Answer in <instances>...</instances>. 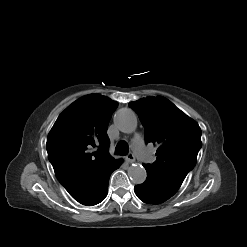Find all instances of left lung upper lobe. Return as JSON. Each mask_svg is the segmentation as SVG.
<instances>
[{"mask_svg": "<svg viewBox=\"0 0 247 247\" xmlns=\"http://www.w3.org/2000/svg\"><path fill=\"white\" fill-rule=\"evenodd\" d=\"M129 105L145 128L146 142L159 146L156 161L146 166L177 191L195 166L202 146L199 125L160 96H149Z\"/></svg>", "mask_w": 247, "mask_h": 247, "instance_id": "obj_1", "label": "left lung upper lobe"}]
</instances>
